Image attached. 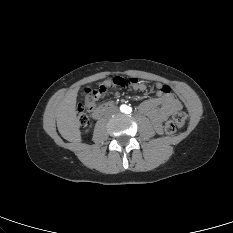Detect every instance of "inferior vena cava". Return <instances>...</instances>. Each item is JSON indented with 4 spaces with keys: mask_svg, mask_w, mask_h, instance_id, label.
I'll use <instances>...</instances> for the list:
<instances>
[{
    "mask_svg": "<svg viewBox=\"0 0 233 233\" xmlns=\"http://www.w3.org/2000/svg\"><path fill=\"white\" fill-rule=\"evenodd\" d=\"M116 111H117L116 109L113 110V112H116Z\"/></svg>",
    "mask_w": 233,
    "mask_h": 233,
    "instance_id": "1",
    "label": "inferior vena cava"
}]
</instances>
